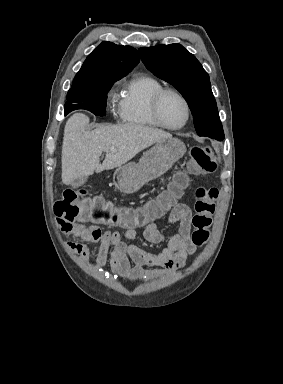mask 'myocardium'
Here are the masks:
<instances>
[{
	"mask_svg": "<svg viewBox=\"0 0 283 384\" xmlns=\"http://www.w3.org/2000/svg\"><path fill=\"white\" fill-rule=\"evenodd\" d=\"M167 94H173V95L177 96L182 101V103L184 105V108L186 111V118H185V121L183 122V124H181L180 126L170 127V126H167L166 124H164L163 121L161 120L160 113H159L160 104H161L163 98ZM148 111H149V115H150L152 121L155 123V125L159 128H162V129L168 130V131H179V130L185 128L187 126V124L189 123L190 117H191V109H190V105H189L186 97L182 93H180L179 91L172 89V88H163L160 91H158L154 95V97L151 99Z\"/></svg>",
	"mask_w": 283,
	"mask_h": 384,
	"instance_id": "f54148a6",
	"label": "myocardium"
}]
</instances>
